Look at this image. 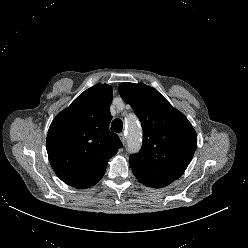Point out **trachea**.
I'll return each mask as SVG.
<instances>
[{"instance_id": "3493384b", "label": "trachea", "mask_w": 248, "mask_h": 248, "mask_svg": "<svg viewBox=\"0 0 248 248\" xmlns=\"http://www.w3.org/2000/svg\"><path fill=\"white\" fill-rule=\"evenodd\" d=\"M123 129V122L120 119H114L111 123V131L120 133Z\"/></svg>"}]
</instances>
